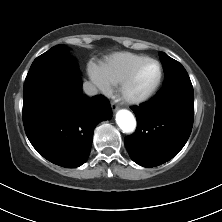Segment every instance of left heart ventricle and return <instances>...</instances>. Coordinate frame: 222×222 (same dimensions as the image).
I'll return each mask as SVG.
<instances>
[{"instance_id":"left-heart-ventricle-1","label":"left heart ventricle","mask_w":222,"mask_h":222,"mask_svg":"<svg viewBox=\"0 0 222 222\" xmlns=\"http://www.w3.org/2000/svg\"><path fill=\"white\" fill-rule=\"evenodd\" d=\"M157 76V65L151 62L145 64L129 86L127 95L134 98L144 95L153 86Z\"/></svg>"}]
</instances>
